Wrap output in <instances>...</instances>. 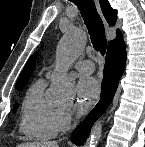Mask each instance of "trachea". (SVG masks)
<instances>
[{"instance_id":"3493384b","label":"trachea","mask_w":145,"mask_h":147,"mask_svg":"<svg viewBox=\"0 0 145 147\" xmlns=\"http://www.w3.org/2000/svg\"><path fill=\"white\" fill-rule=\"evenodd\" d=\"M90 34L91 42L96 51L102 55L106 52L107 40L104 25L93 0H74Z\"/></svg>"}]
</instances>
